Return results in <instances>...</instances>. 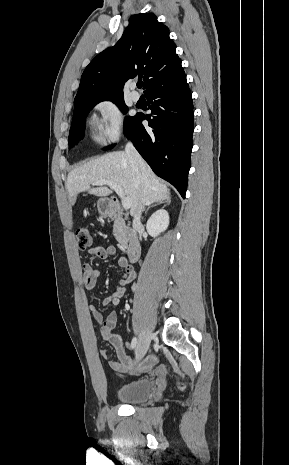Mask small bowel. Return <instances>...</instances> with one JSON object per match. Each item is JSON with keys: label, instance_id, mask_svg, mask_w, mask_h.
Wrapping results in <instances>:
<instances>
[{"label": "small bowel", "instance_id": "1", "mask_svg": "<svg viewBox=\"0 0 289 465\" xmlns=\"http://www.w3.org/2000/svg\"><path fill=\"white\" fill-rule=\"evenodd\" d=\"M89 253L99 259H107L114 257L117 254V250L113 246L95 247L91 249ZM118 264L124 271L123 275L118 282L115 292L103 299V306L118 305L126 293V285L131 283L135 277L133 268L128 264L125 258H119ZM100 274L101 272L94 269L90 263H84L82 265V283L88 292H92L95 289ZM89 310L95 321L100 325V332L103 340L109 342L115 349L117 361H108L110 368L118 373H126L131 370L134 365L133 359L128 355L122 338L115 333L118 321L117 313L112 311L104 317L97 306L92 303L89 305ZM100 355L106 359L107 350L101 348ZM156 362L157 356L152 354L139 365L138 370L141 372L150 371Z\"/></svg>", "mask_w": 289, "mask_h": 465}]
</instances>
